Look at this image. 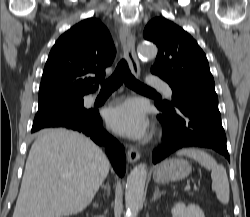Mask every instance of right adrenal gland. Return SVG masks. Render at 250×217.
<instances>
[{"instance_id":"1","label":"right adrenal gland","mask_w":250,"mask_h":217,"mask_svg":"<svg viewBox=\"0 0 250 217\" xmlns=\"http://www.w3.org/2000/svg\"><path fill=\"white\" fill-rule=\"evenodd\" d=\"M93 206L98 208L99 205L97 203H94Z\"/></svg>"}]
</instances>
